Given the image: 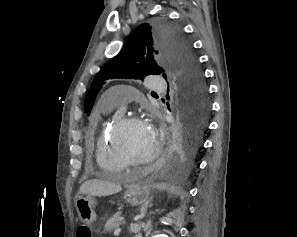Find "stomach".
Instances as JSON below:
<instances>
[{"label": "stomach", "mask_w": 297, "mask_h": 237, "mask_svg": "<svg viewBox=\"0 0 297 237\" xmlns=\"http://www.w3.org/2000/svg\"><path fill=\"white\" fill-rule=\"evenodd\" d=\"M150 188L145 184H132L125 192V200L132 206L146 205L149 202ZM78 216L83 223L91 225L96 220L95 200L91 195L80 196L76 200Z\"/></svg>", "instance_id": "1"}]
</instances>
